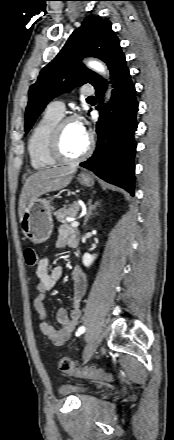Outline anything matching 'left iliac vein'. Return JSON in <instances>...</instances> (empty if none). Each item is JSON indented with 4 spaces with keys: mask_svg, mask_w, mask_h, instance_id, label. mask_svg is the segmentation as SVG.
<instances>
[{
    "mask_svg": "<svg viewBox=\"0 0 174 440\" xmlns=\"http://www.w3.org/2000/svg\"><path fill=\"white\" fill-rule=\"evenodd\" d=\"M97 347H98L97 341H92L87 344V346L85 347V350H84V355H83L85 361L90 359V357L96 351Z\"/></svg>",
    "mask_w": 174,
    "mask_h": 440,
    "instance_id": "left-iliac-vein-1",
    "label": "left iliac vein"
}]
</instances>
